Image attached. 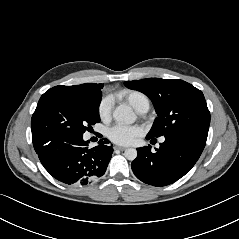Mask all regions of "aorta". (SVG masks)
<instances>
[{
    "mask_svg": "<svg viewBox=\"0 0 239 239\" xmlns=\"http://www.w3.org/2000/svg\"><path fill=\"white\" fill-rule=\"evenodd\" d=\"M113 118L120 124H132L136 121V116L132 109L127 105H119L113 112ZM124 156L133 161L137 157V150L134 148H128L124 152Z\"/></svg>",
    "mask_w": 239,
    "mask_h": 239,
    "instance_id": "762f6f07",
    "label": "aorta"
}]
</instances>
